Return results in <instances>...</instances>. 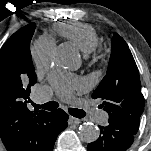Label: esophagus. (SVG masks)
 <instances>
[{
    "label": "esophagus",
    "mask_w": 151,
    "mask_h": 151,
    "mask_svg": "<svg viewBox=\"0 0 151 151\" xmlns=\"http://www.w3.org/2000/svg\"><path fill=\"white\" fill-rule=\"evenodd\" d=\"M81 121H80V119H78V118H75V117H72V116H70L69 117V119H68V123L70 124V125H77V124H79Z\"/></svg>",
    "instance_id": "34e87169"
}]
</instances>
